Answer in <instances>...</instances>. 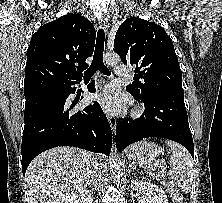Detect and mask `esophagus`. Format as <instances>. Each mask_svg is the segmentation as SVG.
I'll use <instances>...</instances> for the list:
<instances>
[{
	"mask_svg": "<svg viewBox=\"0 0 222 203\" xmlns=\"http://www.w3.org/2000/svg\"><path fill=\"white\" fill-rule=\"evenodd\" d=\"M99 27L104 29L105 31L108 29V17L106 15H103L100 20H99ZM107 119L109 121V124L111 126V129L113 132H115L116 126H117V119L110 115L107 114Z\"/></svg>",
	"mask_w": 222,
	"mask_h": 203,
	"instance_id": "obj_1",
	"label": "esophagus"
}]
</instances>
